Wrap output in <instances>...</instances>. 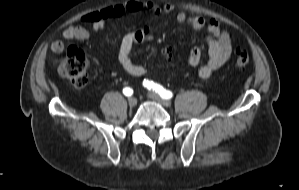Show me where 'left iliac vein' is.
Wrapping results in <instances>:
<instances>
[{
    "instance_id": "obj_1",
    "label": "left iliac vein",
    "mask_w": 299,
    "mask_h": 190,
    "mask_svg": "<svg viewBox=\"0 0 299 190\" xmlns=\"http://www.w3.org/2000/svg\"><path fill=\"white\" fill-rule=\"evenodd\" d=\"M148 97L156 102H158L159 104H161L164 107H170L171 106V102L168 100H165L163 98H161L158 94L156 93H149Z\"/></svg>"
}]
</instances>
